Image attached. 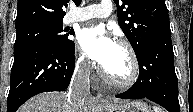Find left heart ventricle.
<instances>
[{
  "instance_id": "b2bd125f",
  "label": "left heart ventricle",
  "mask_w": 193,
  "mask_h": 112,
  "mask_svg": "<svg viewBox=\"0 0 193 112\" xmlns=\"http://www.w3.org/2000/svg\"><path fill=\"white\" fill-rule=\"evenodd\" d=\"M102 67L112 78L125 79L130 72V59L127 51L116 44L110 59Z\"/></svg>"
}]
</instances>
